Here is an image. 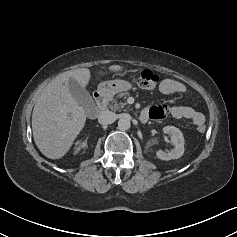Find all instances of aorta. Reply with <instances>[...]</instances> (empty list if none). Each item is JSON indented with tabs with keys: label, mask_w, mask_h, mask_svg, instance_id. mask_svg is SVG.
<instances>
[{
	"label": "aorta",
	"mask_w": 237,
	"mask_h": 237,
	"mask_svg": "<svg viewBox=\"0 0 237 237\" xmlns=\"http://www.w3.org/2000/svg\"><path fill=\"white\" fill-rule=\"evenodd\" d=\"M131 126L129 117L123 116L118 121V128L122 131L128 130Z\"/></svg>",
	"instance_id": "obj_1"
}]
</instances>
